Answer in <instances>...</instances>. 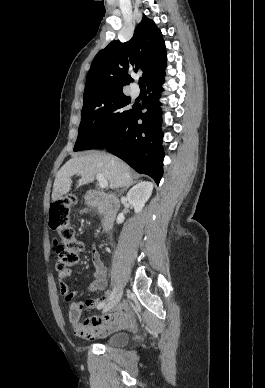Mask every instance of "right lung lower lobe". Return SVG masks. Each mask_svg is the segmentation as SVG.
<instances>
[{
    "label": "right lung lower lobe",
    "instance_id": "obj_1",
    "mask_svg": "<svg viewBox=\"0 0 265 388\" xmlns=\"http://www.w3.org/2000/svg\"><path fill=\"white\" fill-rule=\"evenodd\" d=\"M165 73L149 83L145 104L134 106L117 136L105 148L120 157L139 173L147 174L159 184L163 173L164 152L161 127L160 85ZM146 109V112H142ZM138 120H142L139 124Z\"/></svg>",
    "mask_w": 265,
    "mask_h": 388
}]
</instances>
